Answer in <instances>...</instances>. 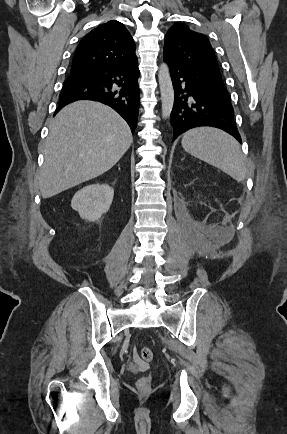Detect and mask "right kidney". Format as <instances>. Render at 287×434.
Instances as JSON below:
<instances>
[{
    "mask_svg": "<svg viewBox=\"0 0 287 434\" xmlns=\"http://www.w3.org/2000/svg\"><path fill=\"white\" fill-rule=\"evenodd\" d=\"M113 196L114 190L108 184H91L75 193L71 207L82 219L96 221L109 210Z\"/></svg>",
    "mask_w": 287,
    "mask_h": 434,
    "instance_id": "1",
    "label": "right kidney"
}]
</instances>
